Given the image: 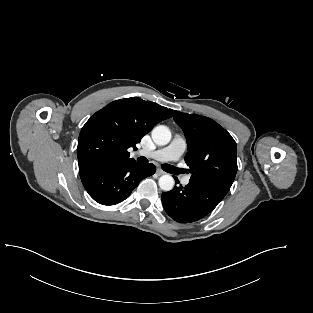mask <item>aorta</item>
<instances>
[{
  "instance_id": "1",
  "label": "aorta",
  "mask_w": 313,
  "mask_h": 313,
  "mask_svg": "<svg viewBox=\"0 0 313 313\" xmlns=\"http://www.w3.org/2000/svg\"><path fill=\"white\" fill-rule=\"evenodd\" d=\"M152 139L157 145H166L171 140V132L167 126L159 125L152 130ZM174 179L170 175L159 178V186L163 191H170L174 187Z\"/></svg>"
}]
</instances>
